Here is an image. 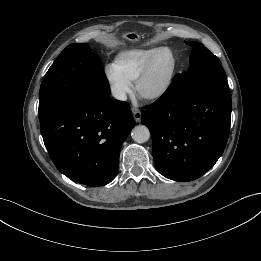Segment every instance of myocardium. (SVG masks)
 <instances>
[{
    "instance_id": "obj_1",
    "label": "myocardium",
    "mask_w": 261,
    "mask_h": 261,
    "mask_svg": "<svg viewBox=\"0 0 261 261\" xmlns=\"http://www.w3.org/2000/svg\"><path fill=\"white\" fill-rule=\"evenodd\" d=\"M164 51H167L171 54V57H172L171 70L163 83H161L159 86H157L155 88H147L146 84L148 82L153 63H154L156 57L161 52H164ZM177 67H178V61H177V57H176V54L174 53V51L169 47L158 48L153 53V55L150 57V59L148 60V62L144 66L143 70L141 71L140 75L138 76V78L135 81V89H136L137 94L141 98L150 100V101L159 100L162 97H164L168 93V91L170 90V88L174 82L175 75L177 72Z\"/></svg>"
}]
</instances>
